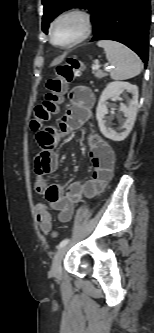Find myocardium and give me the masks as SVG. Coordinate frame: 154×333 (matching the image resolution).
<instances>
[{"label":"myocardium","mask_w":154,"mask_h":333,"mask_svg":"<svg viewBox=\"0 0 154 333\" xmlns=\"http://www.w3.org/2000/svg\"><path fill=\"white\" fill-rule=\"evenodd\" d=\"M74 17L77 18L81 23V28L78 35L71 41L67 43H58L54 38L55 26L59 21L65 18ZM93 30V19L89 11L83 8H71L59 13L55 18L51 21L49 27V37L50 41L54 46L59 48H72L81 42L85 41Z\"/></svg>","instance_id":"1"}]
</instances>
